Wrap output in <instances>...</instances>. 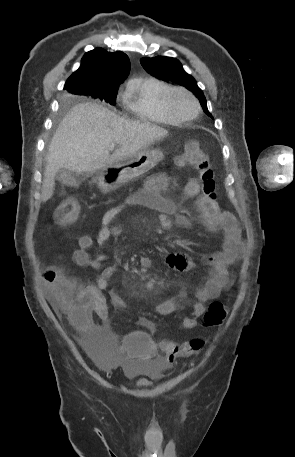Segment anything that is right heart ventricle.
Here are the masks:
<instances>
[{
    "label": "right heart ventricle",
    "instance_id": "e07e8e85",
    "mask_svg": "<svg viewBox=\"0 0 295 457\" xmlns=\"http://www.w3.org/2000/svg\"><path fill=\"white\" fill-rule=\"evenodd\" d=\"M171 86L156 78L130 82L123 96L125 108L143 122L173 125L179 123L166 109L163 101Z\"/></svg>",
    "mask_w": 295,
    "mask_h": 457
}]
</instances>
